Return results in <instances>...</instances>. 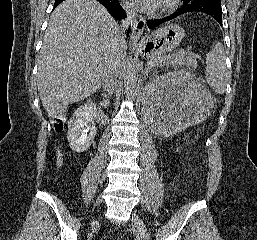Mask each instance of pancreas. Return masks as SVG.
<instances>
[{"label": "pancreas", "mask_w": 257, "mask_h": 240, "mask_svg": "<svg viewBox=\"0 0 257 240\" xmlns=\"http://www.w3.org/2000/svg\"><path fill=\"white\" fill-rule=\"evenodd\" d=\"M162 58H166V60H162L161 64L171 66L186 65L190 70H194L197 67L196 61L190 55L184 52H174L173 54Z\"/></svg>", "instance_id": "cf45deb5"}]
</instances>
